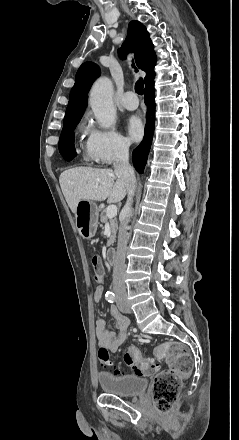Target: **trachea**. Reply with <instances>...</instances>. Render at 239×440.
Masks as SVG:
<instances>
[{"instance_id": "trachea-1", "label": "trachea", "mask_w": 239, "mask_h": 440, "mask_svg": "<svg viewBox=\"0 0 239 440\" xmlns=\"http://www.w3.org/2000/svg\"><path fill=\"white\" fill-rule=\"evenodd\" d=\"M133 67L135 68V65L133 64ZM135 71L137 72V68H135ZM143 79L139 78V80H137L136 84H135V91L136 93H138V95H143Z\"/></svg>"}]
</instances>
